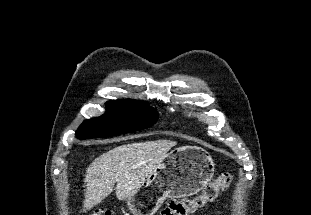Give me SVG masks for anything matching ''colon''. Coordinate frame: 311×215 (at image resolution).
I'll list each match as a JSON object with an SVG mask.
<instances>
[{"mask_svg":"<svg viewBox=\"0 0 311 215\" xmlns=\"http://www.w3.org/2000/svg\"><path fill=\"white\" fill-rule=\"evenodd\" d=\"M231 183V175L223 173L210 183L202 193L183 199H174L167 203L160 215H192L215 201L219 195L226 191ZM91 215H112L110 211L98 210Z\"/></svg>","mask_w":311,"mask_h":215,"instance_id":"5ec220e1","label":"colon"}]
</instances>
